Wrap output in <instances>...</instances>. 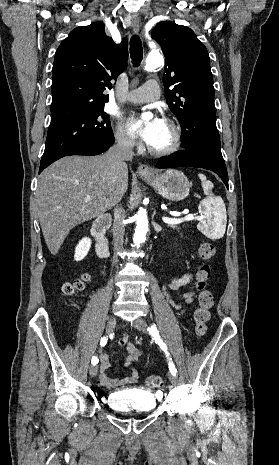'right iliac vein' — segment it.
Returning <instances> with one entry per match:
<instances>
[{"label": "right iliac vein", "mask_w": 279, "mask_h": 465, "mask_svg": "<svg viewBox=\"0 0 279 465\" xmlns=\"http://www.w3.org/2000/svg\"><path fill=\"white\" fill-rule=\"evenodd\" d=\"M116 324H117V319L115 316H111L109 319H108V322H107V325H106V333L107 334H111L115 327H116ZM98 373V366L95 364V365H92L89 369V374L91 377H95Z\"/></svg>", "instance_id": "obj_1"}]
</instances>
